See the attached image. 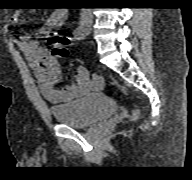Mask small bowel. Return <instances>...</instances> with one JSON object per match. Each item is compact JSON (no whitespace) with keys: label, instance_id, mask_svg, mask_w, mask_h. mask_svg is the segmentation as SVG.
<instances>
[{"label":"small bowel","instance_id":"obj_1","mask_svg":"<svg viewBox=\"0 0 192 180\" xmlns=\"http://www.w3.org/2000/svg\"><path fill=\"white\" fill-rule=\"evenodd\" d=\"M68 18V11L58 9L47 19L43 29L44 34L57 29L63 25ZM20 21L18 12L12 16V22L17 24ZM17 45L25 53L31 64L42 95L53 103L67 102L84 96L91 91H98L103 87V80L98 76L90 77L85 67L80 66L75 74V82L64 88H58L57 84L61 79L59 62L50 51L31 40L27 35H20L17 38Z\"/></svg>","mask_w":192,"mask_h":180}]
</instances>
